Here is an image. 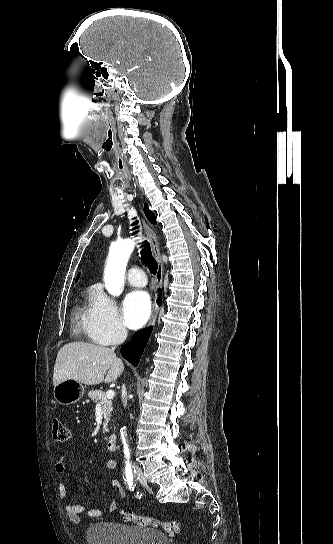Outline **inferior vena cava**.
Listing matches in <instances>:
<instances>
[{"label":"inferior vena cava","mask_w":333,"mask_h":544,"mask_svg":"<svg viewBox=\"0 0 333 544\" xmlns=\"http://www.w3.org/2000/svg\"><path fill=\"white\" fill-rule=\"evenodd\" d=\"M127 337V330L125 328H120L116 337H115V341H114V344L115 345H118L120 343H122ZM115 349V346L112 347V350ZM122 402H123V405L124 407L127 406V397H126V388H125V385L122 386ZM135 465V464H134Z\"/></svg>","instance_id":"602c4592"}]
</instances>
